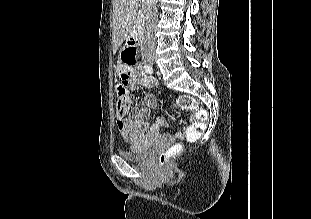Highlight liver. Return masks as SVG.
<instances>
[{"mask_svg":"<svg viewBox=\"0 0 311 219\" xmlns=\"http://www.w3.org/2000/svg\"><path fill=\"white\" fill-rule=\"evenodd\" d=\"M113 2V52L128 39L136 21L138 0H112Z\"/></svg>","mask_w":311,"mask_h":219,"instance_id":"6515ba94","label":"liver"}]
</instances>
